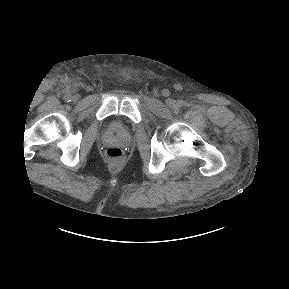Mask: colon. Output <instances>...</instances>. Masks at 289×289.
Here are the masks:
<instances>
[{
    "label": "colon",
    "instance_id": "obj_1",
    "mask_svg": "<svg viewBox=\"0 0 289 289\" xmlns=\"http://www.w3.org/2000/svg\"><path fill=\"white\" fill-rule=\"evenodd\" d=\"M105 155L111 162L115 164L121 163L124 158L123 150L116 146L107 148L105 151Z\"/></svg>",
    "mask_w": 289,
    "mask_h": 289
}]
</instances>
